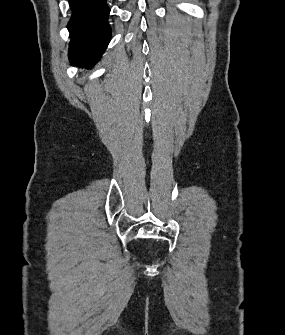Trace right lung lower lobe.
<instances>
[{
  "label": "right lung lower lobe",
  "mask_w": 285,
  "mask_h": 335,
  "mask_svg": "<svg viewBox=\"0 0 285 335\" xmlns=\"http://www.w3.org/2000/svg\"><path fill=\"white\" fill-rule=\"evenodd\" d=\"M72 16L68 23L69 58L88 67L99 61L111 36L110 9L106 0H68Z\"/></svg>",
  "instance_id": "right-lung-lower-lobe-1"
}]
</instances>
